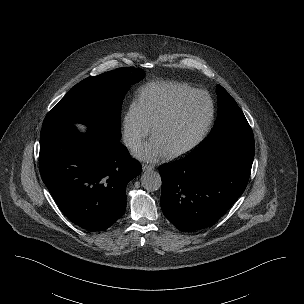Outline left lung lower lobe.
<instances>
[{
	"label": "left lung lower lobe",
	"instance_id": "left-lung-lower-lobe-1",
	"mask_svg": "<svg viewBox=\"0 0 304 304\" xmlns=\"http://www.w3.org/2000/svg\"><path fill=\"white\" fill-rule=\"evenodd\" d=\"M254 149V138H232L161 165L165 217L185 232L216 223L244 192Z\"/></svg>",
	"mask_w": 304,
	"mask_h": 304
}]
</instances>
